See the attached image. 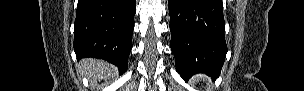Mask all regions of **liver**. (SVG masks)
I'll return each mask as SVG.
<instances>
[{"label":"liver","mask_w":304,"mask_h":91,"mask_svg":"<svg viewBox=\"0 0 304 91\" xmlns=\"http://www.w3.org/2000/svg\"><path fill=\"white\" fill-rule=\"evenodd\" d=\"M79 68L91 81L97 82L109 77L112 74L113 66L103 60L86 58L80 62Z\"/></svg>","instance_id":"1"}]
</instances>
